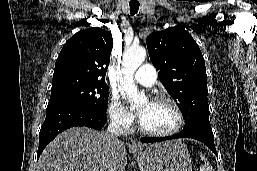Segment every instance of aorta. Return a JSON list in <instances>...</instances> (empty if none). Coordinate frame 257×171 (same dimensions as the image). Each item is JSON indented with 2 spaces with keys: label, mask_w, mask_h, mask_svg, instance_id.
I'll return each instance as SVG.
<instances>
[{
  "label": "aorta",
  "mask_w": 257,
  "mask_h": 171,
  "mask_svg": "<svg viewBox=\"0 0 257 171\" xmlns=\"http://www.w3.org/2000/svg\"><path fill=\"white\" fill-rule=\"evenodd\" d=\"M146 50L141 47H131L123 54L121 86L123 91L130 97L133 106H137L146 101L144 94H140L133 80V74L144 62Z\"/></svg>",
  "instance_id": "762f6f07"
}]
</instances>
